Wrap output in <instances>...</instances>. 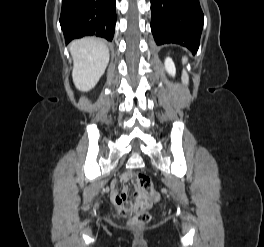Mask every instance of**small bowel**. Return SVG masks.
I'll return each mask as SVG.
<instances>
[{"mask_svg": "<svg viewBox=\"0 0 264 247\" xmlns=\"http://www.w3.org/2000/svg\"><path fill=\"white\" fill-rule=\"evenodd\" d=\"M130 178V174L129 173H124L121 177V180L123 182L128 181V179ZM138 197H142V195H138ZM127 198V188L124 187L121 191H117L116 190V186H113V193H112V199L114 201L115 204H117V202H120L122 200H125Z\"/></svg>", "mask_w": 264, "mask_h": 247, "instance_id": "c3829d8e", "label": "small bowel"}]
</instances>
